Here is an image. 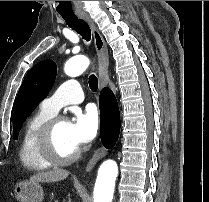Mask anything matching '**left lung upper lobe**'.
<instances>
[{
  "instance_id": "obj_1",
  "label": "left lung upper lobe",
  "mask_w": 209,
  "mask_h": 202,
  "mask_svg": "<svg viewBox=\"0 0 209 202\" xmlns=\"http://www.w3.org/2000/svg\"><path fill=\"white\" fill-rule=\"evenodd\" d=\"M57 73L52 60H44L34 65L24 78L19 89L13 116V135L17 139L23 122L36 106L47 97Z\"/></svg>"
}]
</instances>
